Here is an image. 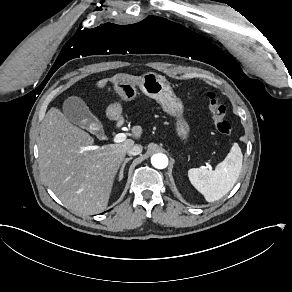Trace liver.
I'll use <instances>...</instances> for the list:
<instances>
[{
    "label": "liver",
    "mask_w": 292,
    "mask_h": 292,
    "mask_svg": "<svg viewBox=\"0 0 292 292\" xmlns=\"http://www.w3.org/2000/svg\"><path fill=\"white\" fill-rule=\"evenodd\" d=\"M130 83L140 79L128 74H116L112 78L95 83L96 89H104L108 81L120 98L124 91L118 86L120 79ZM143 127L134 126L126 139L119 144L94 147V138L74 126L58 106H52L40 127L38 142L39 165L48 187L75 212L97 214L109 203L117 173L123 164L127 150L140 141Z\"/></svg>",
    "instance_id": "liver-1"
}]
</instances>
